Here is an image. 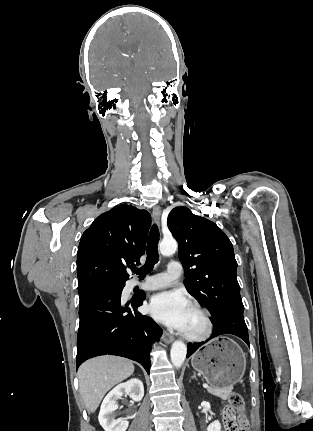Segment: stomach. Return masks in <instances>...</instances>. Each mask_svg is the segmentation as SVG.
Instances as JSON below:
<instances>
[{
    "instance_id": "stomach-1",
    "label": "stomach",
    "mask_w": 313,
    "mask_h": 431,
    "mask_svg": "<svg viewBox=\"0 0 313 431\" xmlns=\"http://www.w3.org/2000/svg\"><path fill=\"white\" fill-rule=\"evenodd\" d=\"M191 365L212 388L222 390L232 387L243 377L246 359L235 341L220 337L198 350L191 358Z\"/></svg>"
}]
</instances>
